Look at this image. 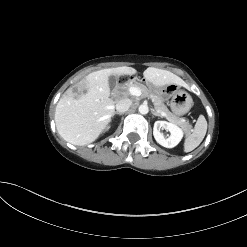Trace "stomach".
Listing matches in <instances>:
<instances>
[{
  "instance_id": "stomach-1",
  "label": "stomach",
  "mask_w": 247,
  "mask_h": 247,
  "mask_svg": "<svg viewBox=\"0 0 247 247\" xmlns=\"http://www.w3.org/2000/svg\"><path fill=\"white\" fill-rule=\"evenodd\" d=\"M166 90L170 92V108L175 115L181 116L190 111L193 100L189 93L175 84L167 85Z\"/></svg>"
}]
</instances>
